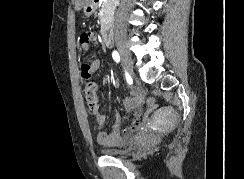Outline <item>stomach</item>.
Wrapping results in <instances>:
<instances>
[{
    "label": "stomach",
    "instance_id": "stomach-1",
    "mask_svg": "<svg viewBox=\"0 0 244 179\" xmlns=\"http://www.w3.org/2000/svg\"><path fill=\"white\" fill-rule=\"evenodd\" d=\"M96 10V6L93 2V0H91V2H89V4H85V6H83V12L85 14V16H92V14H94Z\"/></svg>",
    "mask_w": 244,
    "mask_h": 179
}]
</instances>
